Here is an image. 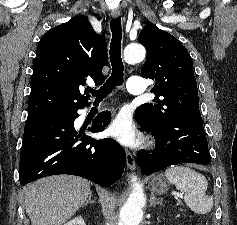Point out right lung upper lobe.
Wrapping results in <instances>:
<instances>
[{
    "label": "right lung upper lobe",
    "instance_id": "right-lung-upper-lobe-1",
    "mask_svg": "<svg viewBox=\"0 0 237 225\" xmlns=\"http://www.w3.org/2000/svg\"><path fill=\"white\" fill-rule=\"evenodd\" d=\"M107 45L89 20L75 17L42 37L33 63L28 117L75 110L88 105L81 94L87 79L102 84Z\"/></svg>",
    "mask_w": 237,
    "mask_h": 225
}]
</instances>
